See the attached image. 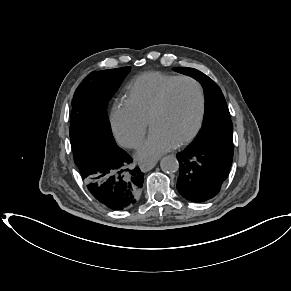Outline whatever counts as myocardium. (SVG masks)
Masks as SVG:
<instances>
[{
  "label": "myocardium",
  "instance_id": "f54148a6",
  "mask_svg": "<svg viewBox=\"0 0 291 291\" xmlns=\"http://www.w3.org/2000/svg\"><path fill=\"white\" fill-rule=\"evenodd\" d=\"M181 81H189L196 87V89L198 91V95H199V114H198V119H197L195 127L187 136H185L179 142H177L176 146H178V147L184 146V145L188 144L189 142H191L197 136L199 131L201 130L203 122H204L205 112H206V98H205V93H204L203 87L198 80H196L195 78H193L191 76H187V75L178 76L175 79H173L162 90V92L159 96V99H158L155 107L153 108V110L149 116V120H148L149 126L151 127L154 119L159 114H161L164 111V109L166 108L168 96H169L171 90L173 89V87L177 83H179Z\"/></svg>",
  "mask_w": 291,
  "mask_h": 291
}]
</instances>
